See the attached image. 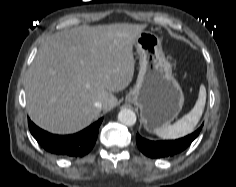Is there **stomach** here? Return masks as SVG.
Wrapping results in <instances>:
<instances>
[{
  "label": "stomach",
  "mask_w": 236,
  "mask_h": 187,
  "mask_svg": "<svg viewBox=\"0 0 236 187\" xmlns=\"http://www.w3.org/2000/svg\"><path fill=\"white\" fill-rule=\"evenodd\" d=\"M134 45L139 56V73L125 100L140 109L145 129L154 132L177 117L184 104V95L158 36L142 31Z\"/></svg>",
  "instance_id": "0dacf381"
}]
</instances>
